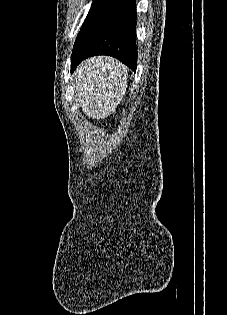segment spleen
I'll list each match as a JSON object with an SVG mask.
<instances>
[{
	"instance_id": "spleen-1",
	"label": "spleen",
	"mask_w": 227,
	"mask_h": 315,
	"mask_svg": "<svg viewBox=\"0 0 227 315\" xmlns=\"http://www.w3.org/2000/svg\"><path fill=\"white\" fill-rule=\"evenodd\" d=\"M127 87V68L114 59H91L77 71L76 89L84 113L92 118L111 114Z\"/></svg>"
}]
</instances>
